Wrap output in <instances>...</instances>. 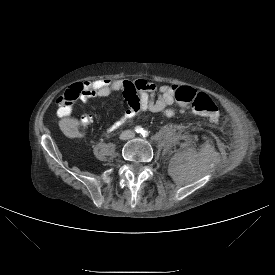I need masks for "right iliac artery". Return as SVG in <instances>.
I'll return each mask as SVG.
<instances>
[{"label": "right iliac artery", "instance_id": "1", "mask_svg": "<svg viewBox=\"0 0 275 275\" xmlns=\"http://www.w3.org/2000/svg\"><path fill=\"white\" fill-rule=\"evenodd\" d=\"M135 131H136L137 133H141V134H142L143 129H142L140 126H137V127H135Z\"/></svg>", "mask_w": 275, "mask_h": 275}]
</instances>
